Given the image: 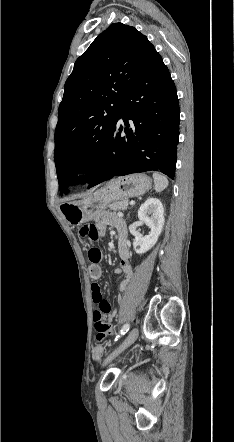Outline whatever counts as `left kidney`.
<instances>
[{"label":"left kidney","mask_w":234,"mask_h":442,"mask_svg":"<svg viewBox=\"0 0 234 442\" xmlns=\"http://www.w3.org/2000/svg\"><path fill=\"white\" fill-rule=\"evenodd\" d=\"M138 219L150 228L144 237H136L133 242L137 254L150 250L158 241L164 224V208L158 198L147 199L138 210Z\"/></svg>","instance_id":"5707ae66"}]
</instances>
